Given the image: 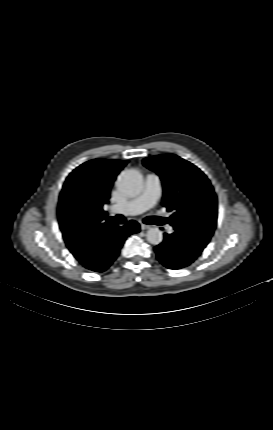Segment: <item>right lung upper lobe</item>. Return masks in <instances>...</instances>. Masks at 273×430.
I'll return each instance as SVG.
<instances>
[{"mask_svg": "<svg viewBox=\"0 0 273 430\" xmlns=\"http://www.w3.org/2000/svg\"><path fill=\"white\" fill-rule=\"evenodd\" d=\"M127 161L94 159L73 170L59 197L58 219L67 247L75 258L88 252L95 231L114 224L102 209Z\"/></svg>", "mask_w": 273, "mask_h": 430, "instance_id": "right-lung-upper-lobe-1", "label": "right lung upper lobe"}]
</instances>
